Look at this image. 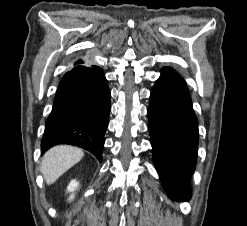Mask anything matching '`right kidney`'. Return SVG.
Instances as JSON below:
<instances>
[{"mask_svg":"<svg viewBox=\"0 0 247 226\" xmlns=\"http://www.w3.org/2000/svg\"><path fill=\"white\" fill-rule=\"evenodd\" d=\"M78 187H79V182H77L76 180H72L67 186V191L74 192L76 189H78ZM73 199H74V194H71L69 200L71 201Z\"/></svg>","mask_w":247,"mask_h":226,"instance_id":"ca27d5eb","label":"right kidney"}]
</instances>
